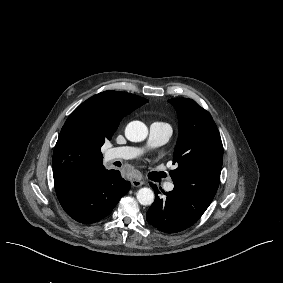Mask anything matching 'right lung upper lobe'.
<instances>
[{
	"instance_id": "obj_1",
	"label": "right lung upper lobe",
	"mask_w": 283,
	"mask_h": 283,
	"mask_svg": "<svg viewBox=\"0 0 283 283\" xmlns=\"http://www.w3.org/2000/svg\"><path fill=\"white\" fill-rule=\"evenodd\" d=\"M148 100L105 91L84 101L61 129L52 159L56 192L66 191L103 167L101 147L111 140L121 119Z\"/></svg>"
}]
</instances>
